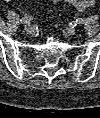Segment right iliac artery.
Returning <instances> with one entry per match:
<instances>
[{
    "label": "right iliac artery",
    "instance_id": "obj_1",
    "mask_svg": "<svg viewBox=\"0 0 100 118\" xmlns=\"http://www.w3.org/2000/svg\"><path fill=\"white\" fill-rule=\"evenodd\" d=\"M32 19L33 18H31V17H24V18H22L21 22L23 24H29Z\"/></svg>",
    "mask_w": 100,
    "mask_h": 118
}]
</instances>
